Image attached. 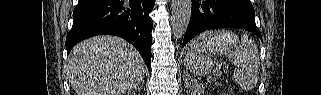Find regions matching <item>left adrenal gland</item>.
<instances>
[{
  "instance_id": "1",
  "label": "left adrenal gland",
  "mask_w": 321,
  "mask_h": 95,
  "mask_svg": "<svg viewBox=\"0 0 321 95\" xmlns=\"http://www.w3.org/2000/svg\"><path fill=\"white\" fill-rule=\"evenodd\" d=\"M184 81H185V87L187 88L188 87V80L187 79H184Z\"/></svg>"
}]
</instances>
